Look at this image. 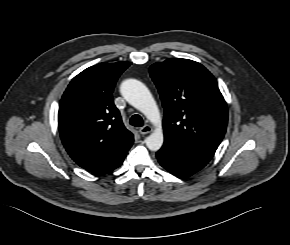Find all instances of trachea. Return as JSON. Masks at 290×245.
<instances>
[{"mask_svg": "<svg viewBox=\"0 0 290 245\" xmlns=\"http://www.w3.org/2000/svg\"><path fill=\"white\" fill-rule=\"evenodd\" d=\"M130 124L135 127H141L143 126V119L140 115L135 114L131 117Z\"/></svg>", "mask_w": 290, "mask_h": 245, "instance_id": "3493384b", "label": "trachea"}]
</instances>
